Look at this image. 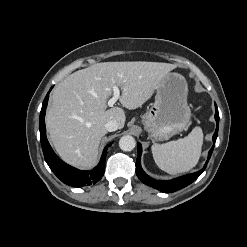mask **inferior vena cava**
<instances>
[{
  "mask_svg": "<svg viewBox=\"0 0 247 247\" xmlns=\"http://www.w3.org/2000/svg\"><path fill=\"white\" fill-rule=\"evenodd\" d=\"M105 128L109 132L116 131L119 128V123L116 120H110L105 124Z\"/></svg>",
  "mask_w": 247,
  "mask_h": 247,
  "instance_id": "602c4592",
  "label": "inferior vena cava"
}]
</instances>
